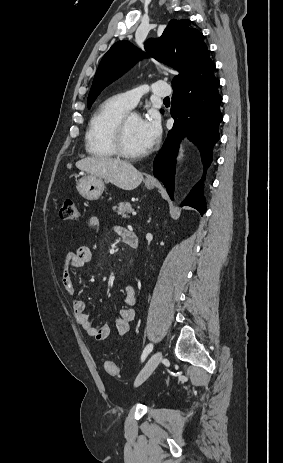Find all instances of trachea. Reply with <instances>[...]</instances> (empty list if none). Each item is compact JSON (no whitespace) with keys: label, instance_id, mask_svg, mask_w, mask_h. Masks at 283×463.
Here are the masks:
<instances>
[{"label":"trachea","instance_id":"1","mask_svg":"<svg viewBox=\"0 0 283 463\" xmlns=\"http://www.w3.org/2000/svg\"><path fill=\"white\" fill-rule=\"evenodd\" d=\"M165 101H169V97L164 98Z\"/></svg>","mask_w":283,"mask_h":463}]
</instances>
